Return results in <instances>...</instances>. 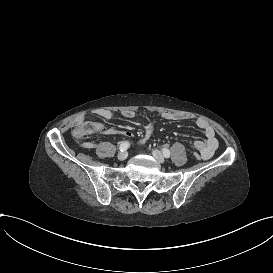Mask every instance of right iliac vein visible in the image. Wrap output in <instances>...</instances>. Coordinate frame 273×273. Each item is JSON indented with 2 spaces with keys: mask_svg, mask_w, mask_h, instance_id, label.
Returning a JSON list of instances; mask_svg holds the SVG:
<instances>
[{
  "mask_svg": "<svg viewBox=\"0 0 273 273\" xmlns=\"http://www.w3.org/2000/svg\"><path fill=\"white\" fill-rule=\"evenodd\" d=\"M127 156H128V153L123 151L118 154L117 158H118V160L123 161L127 158Z\"/></svg>",
  "mask_w": 273,
  "mask_h": 273,
  "instance_id": "obj_1",
  "label": "right iliac vein"
}]
</instances>
